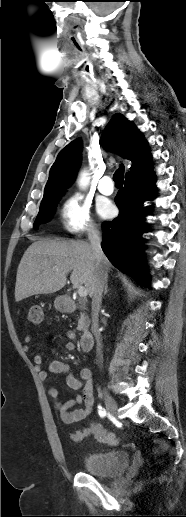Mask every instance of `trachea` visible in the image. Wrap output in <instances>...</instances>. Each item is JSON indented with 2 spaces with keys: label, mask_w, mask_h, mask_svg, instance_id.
Returning <instances> with one entry per match:
<instances>
[{
  "label": "trachea",
  "mask_w": 186,
  "mask_h": 517,
  "mask_svg": "<svg viewBox=\"0 0 186 517\" xmlns=\"http://www.w3.org/2000/svg\"><path fill=\"white\" fill-rule=\"evenodd\" d=\"M123 179H124V165L122 164L118 170L113 175V180L116 185L121 186L123 185Z\"/></svg>",
  "instance_id": "trachea-1"
}]
</instances>
